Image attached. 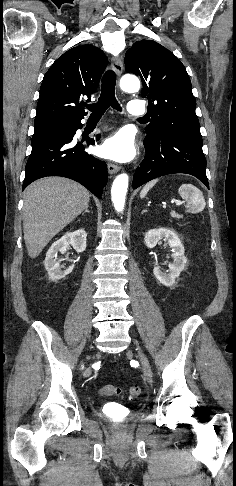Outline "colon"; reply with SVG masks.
<instances>
[{"mask_svg": "<svg viewBox=\"0 0 236 486\" xmlns=\"http://www.w3.org/2000/svg\"><path fill=\"white\" fill-rule=\"evenodd\" d=\"M141 391H142L141 387L135 385L129 387L126 391V394L129 398H136L141 394ZM99 392L102 396H113V395L121 394L122 389L114 385H105L101 387Z\"/></svg>", "mask_w": 236, "mask_h": 486, "instance_id": "colon-1", "label": "colon"}]
</instances>
